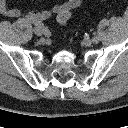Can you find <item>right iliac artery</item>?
<instances>
[{"label": "right iliac artery", "instance_id": "obj_1", "mask_svg": "<svg viewBox=\"0 0 128 128\" xmlns=\"http://www.w3.org/2000/svg\"><path fill=\"white\" fill-rule=\"evenodd\" d=\"M40 27V26H39ZM44 33L47 34V30L46 29H43Z\"/></svg>", "mask_w": 128, "mask_h": 128}]
</instances>
